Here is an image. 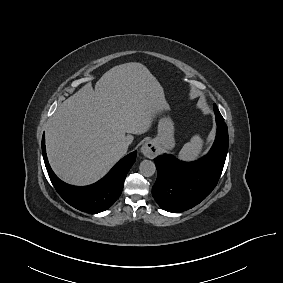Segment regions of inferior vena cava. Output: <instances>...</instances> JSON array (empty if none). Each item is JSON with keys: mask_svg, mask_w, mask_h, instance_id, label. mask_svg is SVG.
<instances>
[{"mask_svg": "<svg viewBox=\"0 0 283 283\" xmlns=\"http://www.w3.org/2000/svg\"><path fill=\"white\" fill-rule=\"evenodd\" d=\"M131 141L129 140V138L125 137L121 142L120 145L124 148V149H128V146L130 145Z\"/></svg>", "mask_w": 283, "mask_h": 283, "instance_id": "602c4592", "label": "inferior vena cava"}]
</instances>
